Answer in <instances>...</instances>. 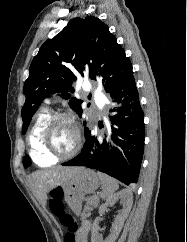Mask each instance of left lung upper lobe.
<instances>
[{
	"mask_svg": "<svg viewBox=\"0 0 187 242\" xmlns=\"http://www.w3.org/2000/svg\"><path fill=\"white\" fill-rule=\"evenodd\" d=\"M133 75L132 64L116 37L100 19L92 16L74 18L54 38L47 40L32 60L29 77L24 83L26 97L21 111L24 134L40 102L50 94L74 92L72 82L88 76L102 83L111 93L120 83ZM81 100L71 98L70 107L81 116ZM84 122V126H85ZM85 136L89 129L85 126ZM24 166L30 159L24 157Z\"/></svg>",
	"mask_w": 187,
	"mask_h": 242,
	"instance_id": "1",
	"label": "left lung upper lobe"
}]
</instances>
